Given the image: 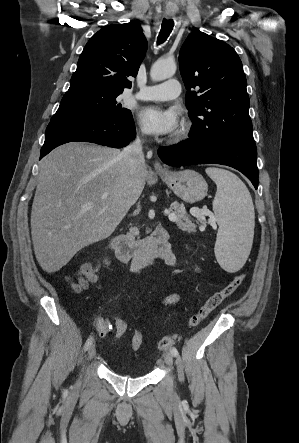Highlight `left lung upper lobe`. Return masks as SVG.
I'll return each instance as SVG.
<instances>
[{
	"label": "left lung upper lobe",
	"instance_id": "left-lung-upper-lobe-1",
	"mask_svg": "<svg viewBox=\"0 0 299 443\" xmlns=\"http://www.w3.org/2000/svg\"><path fill=\"white\" fill-rule=\"evenodd\" d=\"M179 67L193 122L190 138L254 140L246 77L231 46L203 32H192L181 47Z\"/></svg>",
	"mask_w": 299,
	"mask_h": 443
}]
</instances>
